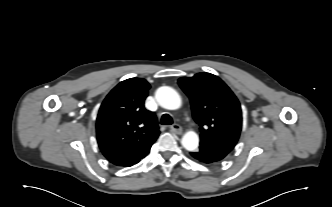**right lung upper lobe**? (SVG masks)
<instances>
[{"label": "right lung upper lobe", "instance_id": "obj_1", "mask_svg": "<svg viewBox=\"0 0 332 207\" xmlns=\"http://www.w3.org/2000/svg\"><path fill=\"white\" fill-rule=\"evenodd\" d=\"M149 88L142 78L124 80L111 90L99 109L98 145L103 155L117 166L138 163L160 134L155 114L144 107Z\"/></svg>", "mask_w": 332, "mask_h": 207}]
</instances>
